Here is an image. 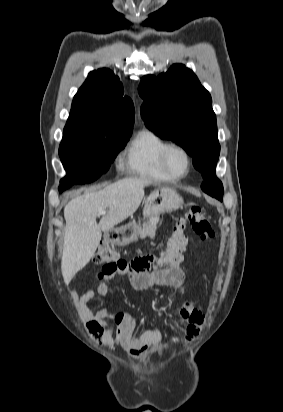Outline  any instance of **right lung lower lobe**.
Returning <instances> with one entry per match:
<instances>
[{
	"label": "right lung lower lobe",
	"instance_id": "obj_1",
	"mask_svg": "<svg viewBox=\"0 0 283 412\" xmlns=\"http://www.w3.org/2000/svg\"><path fill=\"white\" fill-rule=\"evenodd\" d=\"M74 185V183H64L62 184V186L59 188L60 192H62L63 190L69 188L70 186Z\"/></svg>",
	"mask_w": 283,
	"mask_h": 412
}]
</instances>
